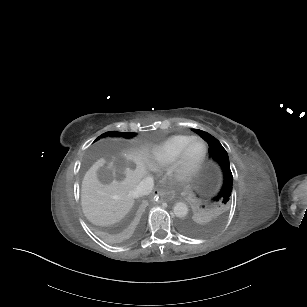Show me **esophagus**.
I'll return each instance as SVG.
<instances>
[{"label":"esophagus","instance_id":"34e87169","mask_svg":"<svg viewBox=\"0 0 307 307\" xmlns=\"http://www.w3.org/2000/svg\"><path fill=\"white\" fill-rule=\"evenodd\" d=\"M157 195H159L163 201H171L174 198L175 193L174 191H158Z\"/></svg>","mask_w":307,"mask_h":307}]
</instances>
